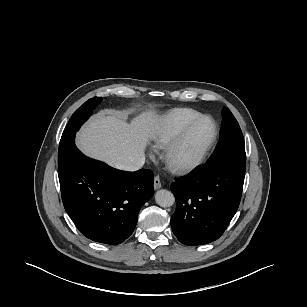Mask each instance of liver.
Returning <instances> with one entry per match:
<instances>
[{
	"mask_svg": "<svg viewBox=\"0 0 307 307\" xmlns=\"http://www.w3.org/2000/svg\"><path fill=\"white\" fill-rule=\"evenodd\" d=\"M160 121L152 111L141 113L130 123L126 117L101 112L81 129L77 146L87 156L116 167L144 156L149 140L158 134Z\"/></svg>",
	"mask_w": 307,
	"mask_h": 307,
	"instance_id": "6515ba94",
	"label": "liver"
}]
</instances>
